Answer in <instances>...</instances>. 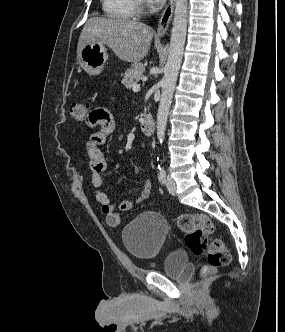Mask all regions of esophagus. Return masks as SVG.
<instances>
[{
  "mask_svg": "<svg viewBox=\"0 0 285 332\" xmlns=\"http://www.w3.org/2000/svg\"><path fill=\"white\" fill-rule=\"evenodd\" d=\"M175 1L176 0H169L168 4L166 5L165 9L163 10V12L161 14V17L158 22L157 33H156V35L158 37H163L169 28V24H170V22L172 20V16H173Z\"/></svg>",
  "mask_w": 285,
  "mask_h": 332,
  "instance_id": "1",
  "label": "esophagus"
}]
</instances>
